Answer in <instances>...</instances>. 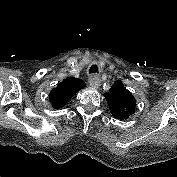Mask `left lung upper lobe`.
Masks as SVG:
<instances>
[{"mask_svg": "<svg viewBox=\"0 0 177 177\" xmlns=\"http://www.w3.org/2000/svg\"><path fill=\"white\" fill-rule=\"evenodd\" d=\"M110 112L116 119H128L135 111L136 100L121 81L114 82L109 93L105 94Z\"/></svg>", "mask_w": 177, "mask_h": 177, "instance_id": "1", "label": "left lung upper lobe"}]
</instances>
